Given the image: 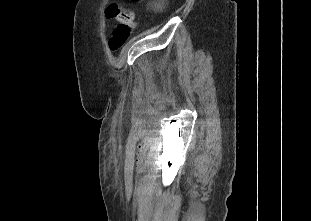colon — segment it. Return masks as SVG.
Wrapping results in <instances>:
<instances>
[{"instance_id": "1", "label": "colon", "mask_w": 311, "mask_h": 221, "mask_svg": "<svg viewBox=\"0 0 311 221\" xmlns=\"http://www.w3.org/2000/svg\"><path fill=\"white\" fill-rule=\"evenodd\" d=\"M107 15L110 19L123 21L125 18H135L132 11L122 10L119 2H108ZM134 26H117V29L112 31L108 45L112 52L118 51L128 41L130 33Z\"/></svg>"}]
</instances>
